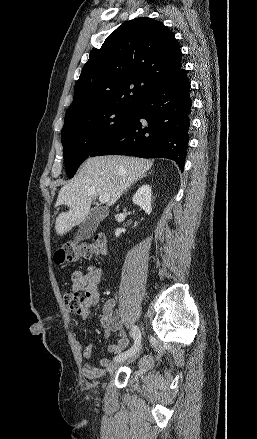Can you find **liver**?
<instances>
[{
  "mask_svg": "<svg viewBox=\"0 0 257 439\" xmlns=\"http://www.w3.org/2000/svg\"><path fill=\"white\" fill-rule=\"evenodd\" d=\"M153 161L125 156H98L88 158L74 180L64 185L58 194L55 206L65 204L69 211L56 218L57 235H64L81 224L89 215L92 199L107 193L112 206L123 192L146 174Z\"/></svg>",
  "mask_w": 257,
  "mask_h": 439,
  "instance_id": "obj_1",
  "label": "liver"
}]
</instances>
